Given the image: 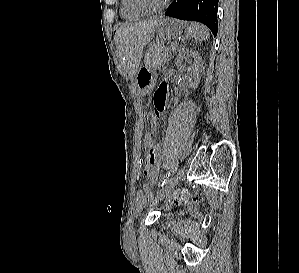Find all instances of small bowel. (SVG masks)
Wrapping results in <instances>:
<instances>
[{
	"instance_id": "1",
	"label": "small bowel",
	"mask_w": 299,
	"mask_h": 273,
	"mask_svg": "<svg viewBox=\"0 0 299 273\" xmlns=\"http://www.w3.org/2000/svg\"><path fill=\"white\" fill-rule=\"evenodd\" d=\"M168 99V88L166 84H161L154 96V105L157 113H162L166 110ZM145 162L143 167V174L152 184H156L159 178V166L157 162L155 143L145 146ZM152 195L150 193H139L137 195V205L142 206L147 202Z\"/></svg>"
}]
</instances>
